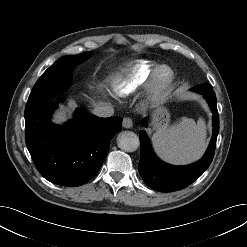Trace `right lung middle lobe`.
<instances>
[{"label": "right lung middle lobe", "mask_w": 247, "mask_h": 247, "mask_svg": "<svg viewBox=\"0 0 247 247\" xmlns=\"http://www.w3.org/2000/svg\"><path fill=\"white\" fill-rule=\"evenodd\" d=\"M91 52L74 56H64L51 65L34 85L30 98L42 99L50 94H59L70 86L74 67L85 61Z\"/></svg>", "instance_id": "1"}]
</instances>
